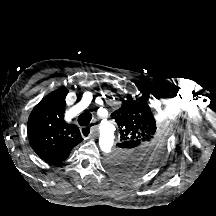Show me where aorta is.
<instances>
[{
  "label": "aorta",
  "mask_w": 216,
  "mask_h": 216,
  "mask_svg": "<svg viewBox=\"0 0 216 216\" xmlns=\"http://www.w3.org/2000/svg\"><path fill=\"white\" fill-rule=\"evenodd\" d=\"M99 145L103 152L109 153L114 145L115 125L112 121L102 120L100 123Z\"/></svg>",
  "instance_id": "obj_1"
}]
</instances>
